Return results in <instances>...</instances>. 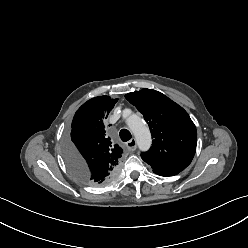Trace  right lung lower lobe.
Returning a JSON list of instances; mask_svg holds the SVG:
<instances>
[{
    "instance_id": "obj_1",
    "label": "right lung lower lobe",
    "mask_w": 248,
    "mask_h": 248,
    "mask_svg": "<svg viewBox=\"0 0 248 248\" xmlns=\"http://www.w3.org/2000/svg\"><path fill=\"white\" fill-rule=\"evenodd\" d=\"M67 163V162H66ZM68 167L70 168V170L74 173V175H78L79 176V179L83 182H86V183H90L92 181H95L97 179L93 178L91 181L90 179H85L84 176L76 169V164L75 163H67ZM116 172H113L112 176L111 177H108V178H104L102 179V181L106 182L107 180H109L110 178H113L115 176Z\"/></svg>"
}]
</instances>
